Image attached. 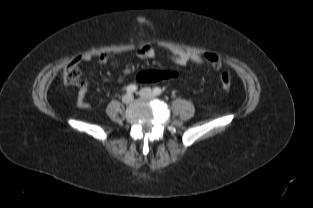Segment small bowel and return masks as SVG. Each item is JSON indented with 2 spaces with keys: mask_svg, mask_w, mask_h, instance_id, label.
<instances>
[{
  "mask_svg": "<svg viewBox=\"0 0 313 208\" xmlns=\"http://www.w3.org/2000/svg\"><path fill=\"white\" fill-rule=\"evenodd\" d=\"M136 56L139 59H151L156 56V50L152 45H144L140 47L137 52ZM169 57L178 65L182 67H186L191 64H203L206 63L205 59L203 56L198 55V54H191L185 51H170L169 52ZM92 59V56L90 54H84L80 56L75 62H88ZM98 62L100 64H106V63H111L113 68L118 67V61L114 58L112 53H102L98 57ZM87 86L83 85L79 88L78 93H77V104L81 108H89L90 104L87 101Z\"/></svg>",
  "mask_w": 313,
  "mask_h": 208,
  "instance_id": "1",
  "label": "small bowel"
}]
</instances>
